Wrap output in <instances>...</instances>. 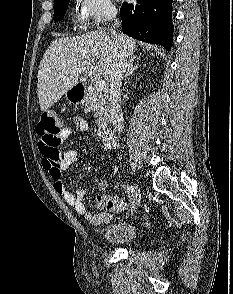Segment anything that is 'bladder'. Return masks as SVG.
Wrapping results in <instances>:
<instances>
[{"mask_svg":"<svg viewBox=\"0 0 233 294\" xmlns=\"http://www.w3.org/2000/svg\"><path fill=\"white\" fill-rule=\"evenodd\" d=\"M141 236L140 228L130 222L117 221L110 223L102 230L103 240L114 246H128Z\"/></svg>","mask_w":233,"mask_h":294,"instance_id":"31cf9c89","label":"bladder"}]
</instances>
